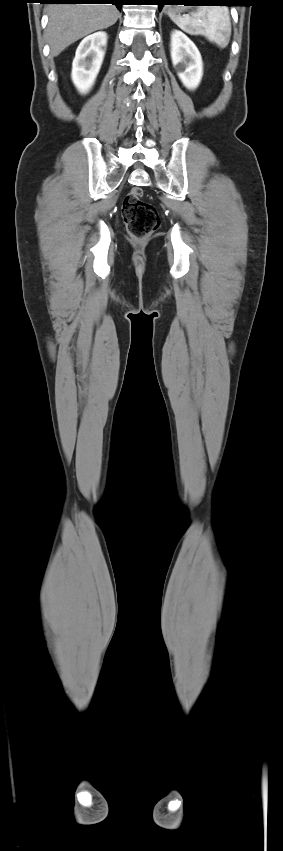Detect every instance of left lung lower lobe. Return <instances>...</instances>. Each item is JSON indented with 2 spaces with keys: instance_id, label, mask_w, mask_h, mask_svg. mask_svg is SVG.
Returning <instances> with one entry per match:
<instances>
[{
  "instance_id": "1",
  "label": "left lung lower lobe",
  "mask_w": 283,
  "mask_h": 851,
  "mask_svg": "<svg viewBox=\"0 0 283 851\" xmlns=\"http://www.w3.org/2000/svg\"><path fill=\"white\" fill-rule=\"evenodd\" d=\"M159 10L166 4H188V5H228L230 0H155Z\"/></svg>"
}]
</instances>
